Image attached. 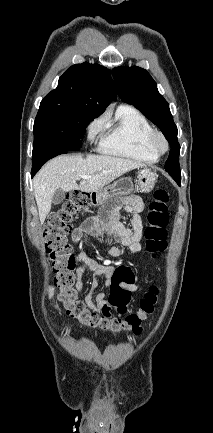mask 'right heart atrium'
Instances as JSON below:
<instances>
[{
    "instance_id": "d8ad5b80",
    "label": "right heart atrium",
    "mask_w": 213,
    "mask_h": 433,
    "mask_svg": "<svg viewBox=\"0 0 213 433\" xmlns=\"http://www.w3.org/2000/svg\"><path fill=\"white\" fill-rule=\"evenodd\" d=\"M103 126V119L102 118H96L87 127V135L88 138L91 140L93 139L96 134L102 129Z\"/></svg>"
}]
</instances>
